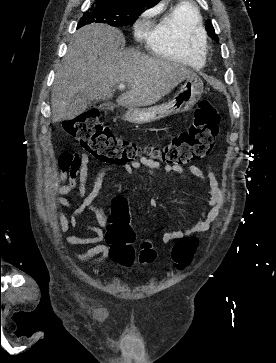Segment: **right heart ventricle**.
I'll list each match as a JSON object with an SVG mask.
<instances>
[{
    "label": "right heart ventricle",
    "mask_w": 276,
    "mask_h": 363,
    "mask_svg": "<svg viewBox=\"0 0 276 363\" xmlns=\"http://www.w3.org/2000/svg\"><path fill=\"white\" fill-rule=\"evenodd\" d=\"M151 51L164 59L193 68L206 62V36L199 11L181 2L167 10L148 35Z\"/></svg>",
    "instance_id": "right-heart-ventricle-1"
}]
</instances>
